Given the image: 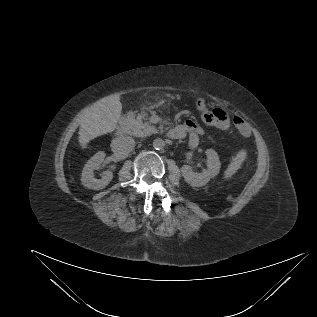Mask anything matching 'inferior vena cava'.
Wrapping results in <instances>:
<instances>
[{
  "mask_svg": "<svg viewBox=\"0 0 317 317\" xmlns=\"http://www.w3.org/2000/svg\"><path fill=\"white\" fill-rule=\"evenodd\" d=\"M135 147V141L132 137L121 136L113 139L111 143L112 151L119 154H128Z\"/></svg>",
  "mask_w": 317,
  "mask_h": 317,
  "instance_id": "602c4592",
  "label": "inferior vena cava"
}]
</instances>
